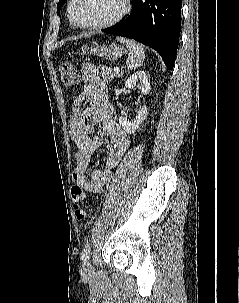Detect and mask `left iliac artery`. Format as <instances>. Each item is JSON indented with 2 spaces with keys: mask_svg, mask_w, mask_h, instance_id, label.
I'll return each instance as SVG.
<instances>
[{
  "mask_svg": "<svg viewBox=\"0 0 239 303\" xmlns=\"http://www.w3.org/2000/svg\"><path fill=\"white\" fill-rule=\"evenodd\" d=\"M90 244L87 243L82 251V255H81V258H82V261L84 262V264L89 260V255H90Z\"/></svg>",
  "mask_w": 239,
  "mask_h": 303,
  "instance_id": "44dca946",
  "label": "left iliac artery"
}]
</instances>
